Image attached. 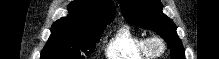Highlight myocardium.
Returning a JSON list of instances; mask_svg holds the SVG:
<instances>
[{
  "mask_svg": "<svg viewBox=\"0 0 219 59\" xmlns=\"http://www.w3.org/2000/svg\"><path fill=\"white\" fill-rule=\"evenodd\" d=\"M146 48L153 57H160L166 52L167 43L160 35H152L146 38Z\"/></svg>",
  "mask_w": 219,
  "mask_h": 59,
  "instance_id": "f54148a6",
  "label": "myocardium"
}]
</instances>
